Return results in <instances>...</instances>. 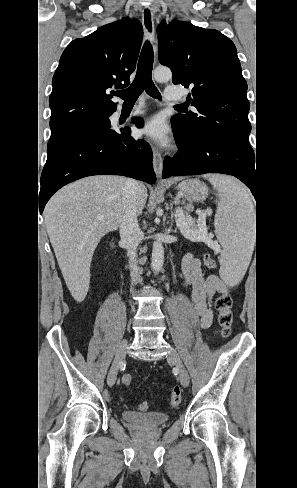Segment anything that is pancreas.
<instances>
[{
  "instance_id": "1",
  "label": "pancreas",
  "mask_w": 297,
  "mask_h": 488,
  "mask_svg": "<svg viewBox=\"0 0 297 488\" xmlns=\"http://www.w3.org/2000/svg\"><path fill=\"white\" fill-rule=\"evenodd\" d=\"M197 224H200L201 222H199V220H196ZM190 227H192L193 229L197 228V225L195 224V220H193V223L189 225Z\"/></svg>"
}]
</instances>
